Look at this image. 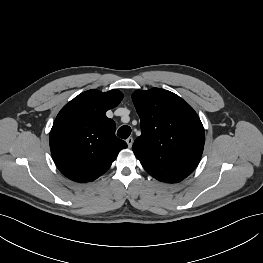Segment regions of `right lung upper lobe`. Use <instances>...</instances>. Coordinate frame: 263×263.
Wrapping results in <instances>:
<instances>
[{"instance_id":"obj_1","label":"right lung upper lobe","mask_w":263,"mask_h":263,"mask_svg":"<svg viewBox=\"0 0 263 263\" xmlns=\"http://www.w3.org/2000/svg\"><path fill=\"white\" fill-rule=\"evenodd\" d=\"M123 98L118 90L92 89L79 94L57 115L50 132V149L58 169L69 179L84 183L104 174L127 147L115 136L116 125L106 111Z\"/></svg>"}]
</instances>
